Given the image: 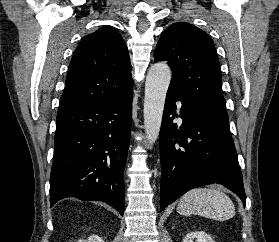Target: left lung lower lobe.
Masks as SVG:
<instances>
[{
	"label": "left lung lower lobe",
	"mask_w": 279,
	"mask_h": 242,
	"mask_svg": "<svg viewBox=\"0 0 279 242\" xmlns=\"http://www.w3.org/2000/svg\"><path fill=\"white\" fill-rule=\"evenodd\" d=\"M181 101L180 127L173 123L175 102ZM160 210L198 186L220 183L246 205L241 169L229 127L186 104L168 88L160 130Z\"/></svg>",
	"instance_id": "0a47b994"
}]
</instances>
